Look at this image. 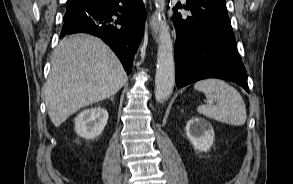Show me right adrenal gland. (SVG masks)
<instances>
[{"label":"right adrenal gland","mask_w":293,"mask_h":184,"mask_svg":"<svg viewBox=\"0 0 293 184\" xmlns=\"http://www.w3.org/2000/svg\"><path fill=\"white\" fill-rule=\"evenodd\" d=\"M110 99H111V101H114V96H112Z\"/></svg>","instance_id":"obj_1"}]
</instances>
